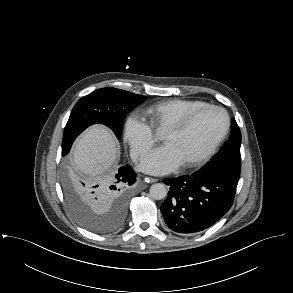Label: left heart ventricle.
Listing matches in <instances>:
<instances>
[{"label":"left heart ventricle","mask_w":293,"mask_h":293,"mask_svg":"<svg viewBox=\"0 0 293 293\" xmlns=\"http://www.w3.org/2000/svg\"><path fill=\"white\" fill-rule=\"evenodd\" d=\"M224 126L225 118L221 112L206 110L184 131L176 134L164 132L162 138L183 164L201 156L221 134Z\"/></svg>","instance_id":"obj_1"}]
</instances>
